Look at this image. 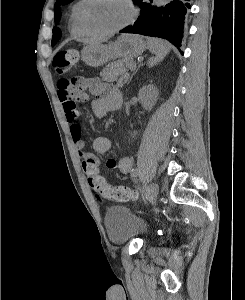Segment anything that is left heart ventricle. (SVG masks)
I'll use <instances>...</instances> for the list:
<instances>
[{
	"label": "left heart ventricle",
	"instance_id": "b2bd125f",
	"mask_svg": "<svg viewBox=\"0 0 245 300\" xmlns=\"http://www.w3.org/2000/svg\"><path fill=\"white\" fill-rule=\"evenodd\" d=\"M130 11L124 0H92L84 11L86 26L93 31H104L124 23Z\"/></svg>",
	"mask_w": 245,
	"mask_h": 300
}]
</instances>
